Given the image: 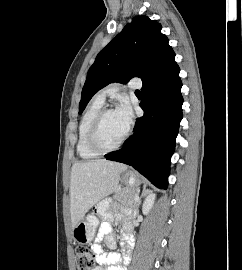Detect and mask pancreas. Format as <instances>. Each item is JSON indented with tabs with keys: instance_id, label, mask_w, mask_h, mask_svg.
Listing matches in <instances>:
<instances>
[{
	"instance_id": "obj_1",
	"label": "pancreas",
	"mask_w": 242,
	"mask_h": 270,
	"mask_svg": "<svg viewBox=\"0 0 242 270\" xmlns=\"http://www.w3.org/2000/svg\"><path fill=\"white\" fill-rule=\"evenodd\" d=\"M137 195L136 191H132L129 188L123 189L116 197V199L125 207V208H134L136 207L137 202L135 201V196Z\"/></svg>"
}]
</instances>
